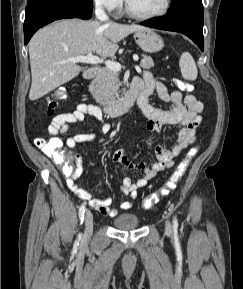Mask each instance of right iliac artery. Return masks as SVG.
Returning <instances> with one entry per match:
<instances>
[{
	"mask_svg": "<svg viewBox=\"0 0 243 289\" xmlns=\"http://www.w3.org/2000/svg\"><path fill=\"white\" fill-rule=\"evenodd\" d=\"M85 204L81 205L80 209H79V218L81 220V223L83 222L84 219V213H85Z\"/></svg>",
	"mask_w": 243,
	"mask_h": 289,
	"instance_id": "obj_1",
	"label": "right iliac artery"
}]
</instances>
